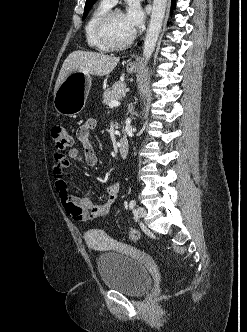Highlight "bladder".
<instances>
[{"mask_svg": "<svg viewBox=\"0 0 247 332\" xmlns=\"http://www.w3.org/2000/svg\"><path fill=\"white\" fill-rule=\"evenodd\" d=\"M88 244L91 236L86 237ZM97 269L103 285L127 296L139 297L152 285L149 257L139 251L104 252L97 257Z\"/></svg>", "mask_w": 247, "mask_h": 332, "instance_id": "1", "label": "bladder"}]
</instances>
